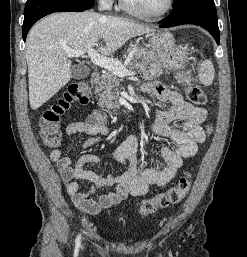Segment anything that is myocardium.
Segmentation results:
<instances>
[{
	"label": "myocardium",
	"mask_w": 247,
	"mask_h": 257,
	"mask_svg": "<svg viewBox=\"0 0 247 257\" xmlns=\"http://www.w3.org/2000/svg\"><path fill=\"white\" fill-rule=\"evenodd\" d=\"M120 5L127 13L147 20V21H160L170 14L174 7V0H167L165 8L158 13H146L134 8L127 0H120Z\"/></svg>",
	"instance_id": "myocardium-1"
}]
</instances>
